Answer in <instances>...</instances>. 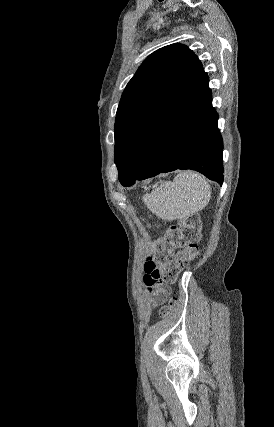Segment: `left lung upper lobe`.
Wrapping results in <instances>:
<instances>
[{
  "label": "left lung upper lobe",
  "instance_id": "obj_1",
  "mask_svg": "<svg viewBox=\"0 0 274 427\" xmlns=\"http://www.w3.org/2000/svg\"><path fill=\"white\" fill-rule=\"evenodd\" d=\"M187 46L172 44L152 53L127 84L115 120V163L119 175L131 169L148 131L202 70Z\"/></svg>",
  "mask_w": 274,
  "mask_h": 427
}]
</instances>
